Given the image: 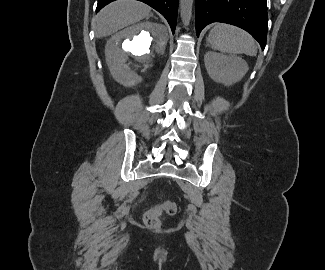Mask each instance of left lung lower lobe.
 I'll return each instance as SVG.
<instances>
[{
	"mask_svg": "<svg viewBox=\"0 0 325 270\" xmlns=\"http://www.w3.org/2000/svg\"><path fill=\"white\" fill-rule=\"evenodd\" d=\"M196 33L213 22L228 23L249 32L264 50L268 15L266 0H196Z\"/></svg>",
	"mask_w": 325,
	"mask_h": 270,
	"instance_id": "obj_1",
	"label": "left lung lower lobe"
}]
</instances>
